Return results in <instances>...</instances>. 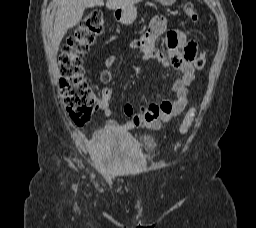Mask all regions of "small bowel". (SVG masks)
<instances>
[{
  "mask_svg": "<svg viewBox=\"0 0 256 228\" xmlns=\"http://www.w3.org/2000/svg\"><path fill=\"white\" fill-rule=\"evenodd\" d=\"M167 20L161 15L155 16L141 37L133 39L129 48L142 55L144 60L155 59L164 67H172L180 75L172 84L174 100H164L159 104L141 106L138 113L134 112L133 105L126 103L123 112L128 117L124 123L109 119L97 132V136L108 133H125L135 128H147L160 130L173 117L182 113L187 105L188 87L195 78L193 60L197 54L195 42L187 40L185 34L179 30H170L165 37L167 53L159 50L156 46L158 38L166 31ZM116 57L110 55L105 59V69L101 72L100 80L108 84L113 79V69ZM112 89L105 87L101 91L100 106L103 113L111 117L110 100Z\"/></svg>",
  "mask_w": 256,
  "mask_h": 228,
  "instance_id": "1",
  "label": "small bowel"
}]
</instances>
